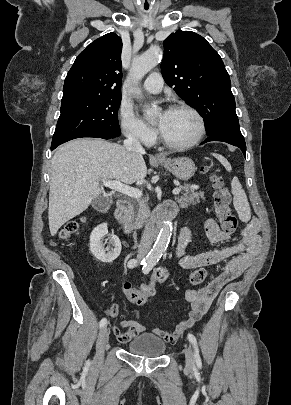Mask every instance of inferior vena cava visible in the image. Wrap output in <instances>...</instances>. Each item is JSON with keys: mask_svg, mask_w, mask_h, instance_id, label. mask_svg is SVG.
<instances>
[{"mask_svg": "<svg viewBox=\"0 0 291 405\" xmlns=\"http://www.w3.org/2000/svg\"><path fill=\"white\" fill-rule=\"evenodd\" d=\"M124 146L129 152L144 153V149L140 144L138 138L133 133L127 135V139L124 140ZM154 237V224L152 221H147L145 229L138 247L137 258L142 259L146 256L151 248V244Z\"/></svg>", "mask_w": 291, "mask_h": 405, "instance_id": "inferior-vena-cava-1", "label": "inferior vena cava"}]
</instances>
